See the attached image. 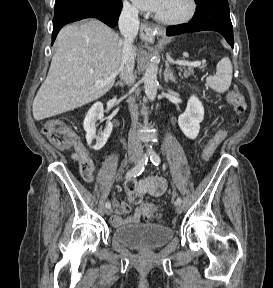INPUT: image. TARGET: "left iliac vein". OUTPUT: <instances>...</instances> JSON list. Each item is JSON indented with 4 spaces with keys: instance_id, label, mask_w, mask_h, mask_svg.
I'll return each instance as SVG.
<instances>
[{
    "instance_id": "left-iliac-vein-1",
    "label": "left iliac vein",
    "mask_w": 273,
    "mask_h": 288,
    "mask_svg": "<svg viewBox=\"0 0 273 288\" xmlns=\"http://www.w3.org/2000/svg\"><path fill=\"white\" fill-rule=\"evenodd\" d=\"M182 211H183L182 206H181L180 204H177V205H176V212H177L178 214H180V213H182Z\"/></svg>"
}]
</instances>
